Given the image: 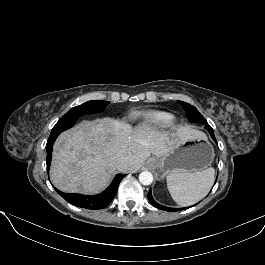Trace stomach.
I'll use <instances>...</instances> for the list:
<instances>
[{
	"label": "stomach",
	"mask_w": 265,
	"mask_h": 265,
	"mask_svg": "<svg viewBox=\"0 0 265 265\" xmlns=\"http://www.w3.org/2000/svg\"><path fill=\"white\" fill-rule=\"evenodd\" d=\"M213 147L205 135L187 140L176 139L166 155L152 161L156 174L163 178L171 173H194L211 165Z\"/></svg>",
	"instance_id": "1"
}]
</instances>
